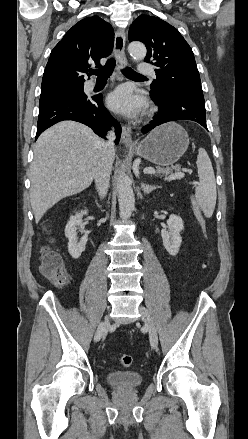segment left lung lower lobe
<instances>
[{"instance_id":"1","label":"left lung lower lobe","mask_w":248,"mask_h":439,"mask_svg":"<svg viewBox=\"0 0 248 439\" xmlns=\"http://www.w3.org/2000/svg\"><path fill=\"white\" fill-rule=\"evenodd\" d=\"M151 97L158 106V113L142 129L144 134L158 125L176 120L195 121L207 129L204 100L188 96H170L166 99H158L153 95Z\"/></svg>"}]
</instances>
